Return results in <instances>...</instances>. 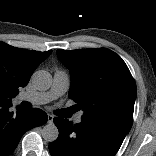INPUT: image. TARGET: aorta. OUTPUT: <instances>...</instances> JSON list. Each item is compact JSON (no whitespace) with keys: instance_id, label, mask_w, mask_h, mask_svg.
Returning a JSON list of instances; mask_svg holds the SVG:
<instances>
[{"instance_id":"762f6f07","label":"aorta","mask_w":156,"mask_h":156,"mask_svg":"<svg viewBox=\"0 0 156 156\" xmlns=\"http://www.w3.org/2000/svg\"><path fill=\"white\" fill-rule=\"evenodd\" d=\"M32 83L37 90L45 91L51 87L52 76L45 70L35 71L32 75ZM58 135L59 131L54 123H49L42 129V137L47 142H54Z\"/></svg>"}]
</instances>
